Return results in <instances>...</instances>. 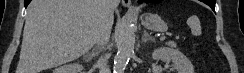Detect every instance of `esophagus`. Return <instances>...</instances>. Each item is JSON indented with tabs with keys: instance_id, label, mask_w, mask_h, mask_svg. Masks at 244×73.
<instances>
[{
	"instance_id": "1",
	"label": "esophagus",
	"mask_w": 244,
	"mask_h": 73,
	"mask_svg": "<svg viewBox=\"0 0 244 73\" xmlns=\"http://www.w3.org/2000/svg\"><path fill=\"white\" fill-rule=\"evenodd\" d=\"M122 5L127 8H132L131 0H122Z\"/></svg>"
}]
</instances>
